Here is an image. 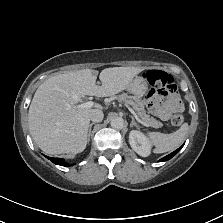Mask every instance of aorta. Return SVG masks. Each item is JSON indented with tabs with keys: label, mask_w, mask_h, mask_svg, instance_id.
Listing matches in <instances>:
<instances>
[{
	"label": "aorta",
	"mask_w": 223,
	"mask_h": 223,
	"mask_svg": "<svg viewBox=\"0 0 223 223\" xmlns=\"http://www.w3.org/2000/svg\"><path fill=\"white\" fill-rule=\"evenodd\" d=\"M110 124L114 129H122L124 127V120L122 117H116L111 120Z\"/></svg>",
	"instance_id": "aorta-1"
}]
</instances>
